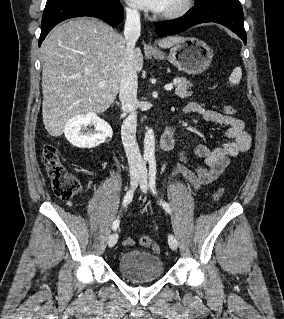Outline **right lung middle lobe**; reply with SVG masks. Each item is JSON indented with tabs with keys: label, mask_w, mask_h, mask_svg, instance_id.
I'll list each match as a JSON object with an SVG mask.
<instances>
[{
	"label": "right lung middle lobe",
	"mask_w": 284,
	"mask_h": 319,
	"mask_svg": "<svg viewBox=\"0 0 284 319\" xmlns=\"http://www.w3.org/2000/svg\"><path fill=\"white\" fill-rule=\"evenodd\" d=\"M75 1H94V2H102V3H115L118 0H47L45 10L53 8L62 3L75 2Z\"/></svg>",
	"instance_id": "1"
}]
</instances>
